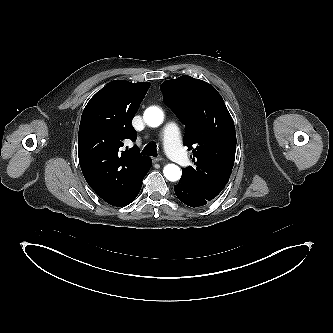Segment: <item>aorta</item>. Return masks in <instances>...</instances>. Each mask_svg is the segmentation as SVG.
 <instances>
[{
  "label": "aorta",
  "instance_id": "762f6f07",
  "mask_svg": "<svg viewBox=\"0 0 333 333\" xmlns=\"http://www.w3.org/2000/svg\"><path fill=\"white\" fill-rule=\"evenodd\" d=\"M163 112L157 107H149L144 113V120L150 127H158L163 122ZM163 173L169 181H177L181 177V170L175 164H168L164 167Z\"/></svg>",
  "mask_w": 333,
  "mask_h": 333
}]
</instances>
